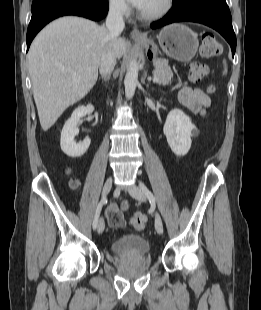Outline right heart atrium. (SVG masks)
Returning a JSON list of instances; mask_svg holds the SVG:
<instances>
[{"mask_svg": "<svg viewBox=\"0 0 261 310\" xmlns=\"http://www.w3.org/2000/svg\"><path fill=\"white\" fill-rule=\"evenodd\" d=\"M110 12L118 17H126L129 14V7L126 0H108Z\"/></svg>", "mask_w": 261, "mask_h": 310, "instance_id": "right-heart-atrium-1", "label": "right heart atrium"}]
</instances>
